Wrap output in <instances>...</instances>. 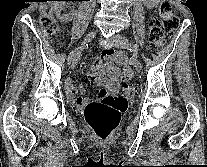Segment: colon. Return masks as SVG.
Wrapping results in <instances>:
<instances>
[{"label": "colon", "mask_w": 207, "mask_h": 167, "mask_svg": "<svg viewBox=\"0 0 207 167\" xmlns=\"http://www.w3.org/2000/svg\"><path fill=\"white\" fill-rule=\"evenodd\" d=\"M40 25L47 34L57 31L58 25L54 18L52 8L45 4L40 9ZM179 25V19L174 13L169 0H163L159 6V19L150 24L149 43L154 48H163L166 40L165 34L173 33ZM119 62H125V56H117ZM138 89L135 83L124 82L119 95H106L89 104L84 112L87 125L97 138L106 140L111 132L118 126L120 117L128 108V99L137 95Z\"/></svg>", "instance_id": "obj_1"}]
</instances>
